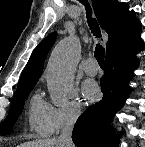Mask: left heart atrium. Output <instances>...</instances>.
<instances>
[{
    "instance_id": "39dd6f15",
    "label": "left heart atrium",
    "mask_w": 145,
    "mask_h": 147,
    "mask_svg": "<svg viewBox=\"0 0 145 147\" xmlns=\"http://www.w3.org/2000/svg\"><path fill=\"white\" fill-rule=\"evenodd\" d=\"M82 93L86 100L94 101L99 96V87L93 80H86L82 85Z\"/></svg>"
}]
</instances>
